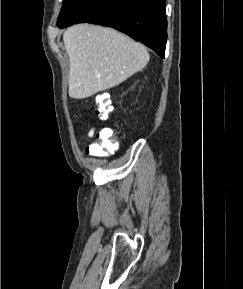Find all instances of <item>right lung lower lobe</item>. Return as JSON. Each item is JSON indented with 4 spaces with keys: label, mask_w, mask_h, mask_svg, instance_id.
Returning <instances> with one entry per match:
<instances>
[{
    "label": "right lung lower lobe",
    "mask_w": 243,
    "mask_h": 289,
    "mask_svg": "<svg viewBox=\"0 0 243 289\" xmlns=\"http://www.w3.org/2000/svg\"><path fill=\"white\" fill-rule=\"evenodd\" d=\"M165 0H82L60 28L89 22L110 26L165 55L167 20Z\"/></svg>",
    "instance_id": "obj_1"
}]
</instances>
